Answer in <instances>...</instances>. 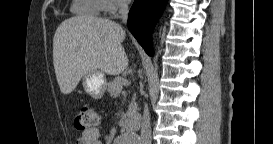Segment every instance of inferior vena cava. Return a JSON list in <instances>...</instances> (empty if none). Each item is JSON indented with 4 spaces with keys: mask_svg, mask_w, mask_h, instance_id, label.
Returning <instances> with one entry per match:
<instances>
[{
    "mask_svg": "<svg viewBox=\"0 0 273 144\" xmlns=\"http://www.w3.org/2000/svg\"><path fill=\"white\" fill-rule=\"evenodd\" d=\"M117 7L119 8V14L123 23H127L128 19V1L117 0ZM140 144H151V126H150V115L148 105L145 103L143 119L141 125V139Z\"/></svg>",
    "mask_w": 273,
    "mask_h": 144,
    "instance_id": "602c4592",
    "label": "inferior vena cava"
}]
</instances>
